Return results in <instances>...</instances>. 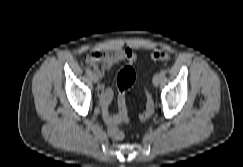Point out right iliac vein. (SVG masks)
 <instances>
[{
  "label": "right iliac vein",
  "instance_id": "63e3f726",
  "mask_svg": "<svg viewBox=\"0 0 243 167\" xmlns=\"http://www.w3.org/2000/svg\"><path fill=\"white\" fill-rule=\"evenodd\" d=\"M90 78L92 79L93 82H98V76L96 73H90Z\"/></svg>",
  "mask_w": 243,
  "mask_h": 167
}]
</instances>
